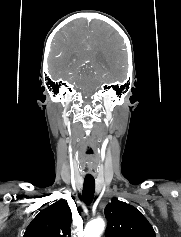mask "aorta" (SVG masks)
Here are the masks:
<instances>
[{
    "instance_id": "762f6f07",
    "label": "aorta",
    "mask_w": 181,
    "mask_h": 237,
    "mask_svg": "<svg viewBox=\"0 0 181 237\" xmlns=\"http://www.w3.org/2000/svg\"><path fill=\"white\" fill-rule=\"evenodd\" d=\"M105 228V222L102 218L90 221L84 230L85 237H100Z\"/></svg>"
}]
</instances>
